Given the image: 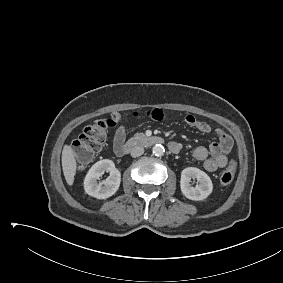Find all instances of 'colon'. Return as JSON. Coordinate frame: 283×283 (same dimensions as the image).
I'll use <instances>...</instances> for the list:
<instances>
[{"label": "colon", "mask_w": 283, "mask_h": 283, "mask_svg": "<svg viewBox=\"0 0 283 283\" xmlns=\"http://www.w3.org/2000/svg\"><path fill=\"white\" fill-rule=\"evenodd\" d=\"M109 126L108 120H97L86 126L81 135L74 141L73 152L79 165H86L102 149ZM235 171L236 163L230 161L220 175V182L225 185L231 183L234 179Z\"/></svg>", "instance_id": "5ec220e1"}]
</instances>
